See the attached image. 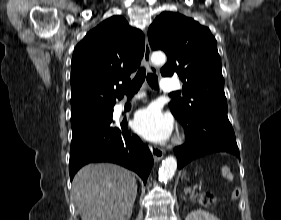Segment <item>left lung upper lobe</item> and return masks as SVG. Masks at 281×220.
<instances>
[{
    "mask_svg": "<svg viewBox=\"0 0 281 220\" xmlns=\"http://www.w3.org/2000/svg\"><path fill=\"white\" fill-rule=\"evenodd\" d=\"M148 38L153 50L168 55L161 74H177L183 82L186 99L169 103L174 115L190 119L207 111L227 114L221 58L207 27L179 13L163 12L149 27Z\"/></svg>",
    "mask_w": 281,
    "mask_h": 220,
    "instance_id": "5c2ea615",
    "label": "left lung upper lobe"
}]
</instances>
